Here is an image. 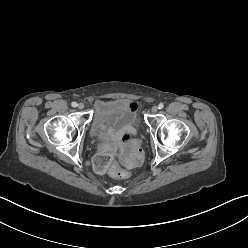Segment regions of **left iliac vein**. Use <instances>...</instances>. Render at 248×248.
Instances as JSON below:
<instances>
[{
	"label": "left iliac vein",
	"mask_w": 248,
	"mask_h": 248,
	"mask_svg": "<svg viewBox=\"0 0 248 248\" xmlns=\"http://www.w3.org/2000/svg\"><path fill=\"white\" fill-rule=\"evenodd\" d=\"M151 111H152V113H156L158 111V107L157 106H153L151 108Z\"/></svg>",
	"instance_id": "obj_1"
}]
</instances>
